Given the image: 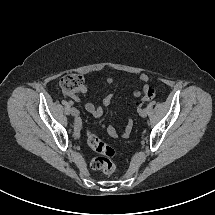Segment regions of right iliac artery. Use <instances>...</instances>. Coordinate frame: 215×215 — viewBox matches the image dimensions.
I'll return each instance as SVG.
<instances>
[{
	"label": "right iliac artery",
	"instance_id": "82829eb1",
	"mask_svg": "<svg viewBox=\"0 0 215 215\" xmlns=\"http://www.w3.org/2000/svg\"><path fill=\"white\" fill-rule=\"evenodd\" d=\"M67 104L70 105V106H72V105H73V102H72V101H69Z\"/></svg>",
	"mask_w": 215,
	"mask_h": 215
}]
</instances>
